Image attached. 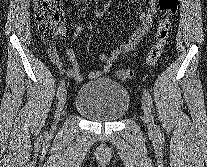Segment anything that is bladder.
Masks as SVG:
<instances>
[{"label":"bladder","mask_w":207,"mask_h":167,"mask_svg":"<svg viewBox=\"0 0 207 167\" xmlns=\"http://www.w3.org/2000/svg\"><path fill=\"white\" fill-rule=\"evenodd\" d=\"M74 106L89 120L113 122L128 112L130 95L123 85L110 79H99L80 87Z\"/></svg>","instance_id":"1"}]
</instances>
